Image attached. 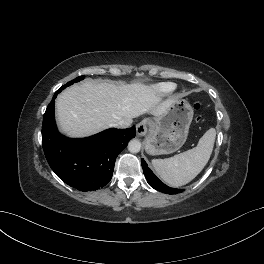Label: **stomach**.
<instances>
[{
	"instance_id": "obj_1",
	"label": "stomach",
	"mask_w": 264,
	"mask_h": 264,
	"mask_svg": "<svg viewBox=\"0 0 264 264\" xmlns=\"http://www.w3.org/2000/svg\"><path fill=\"white\" fill-rule=\"evenodd\" d=\"M192 118V106L187 100L177 98L164 114L153 119L145 139L146 152L161 155L177 151L187 139Z\"/></svg>"
}]
</instances>
